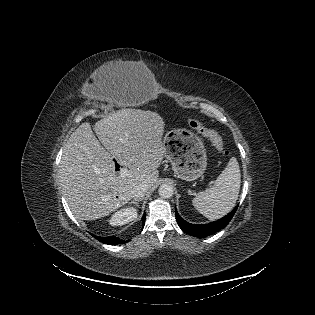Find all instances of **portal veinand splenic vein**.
I'll return each mask as SVG.
<instances>
[{"mask_svg":"<svg viewBox=\"0 0 315 315\" xmlns=\"http://www.w3.org/2000/svg\"><path fill=\"white\" fill-rule=\"evenodd\" d=\"M129 175V170L127 169V167H122L121 169H120V176L122 177V178H125V177H127Z\"/></svg>","mask_w":315,"mask_h":315,"instance_id":"portal-vein-and-splenic-vein-1","label":"portal vein and splenic vein"}]
</instances>
